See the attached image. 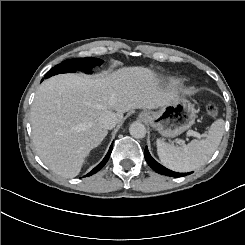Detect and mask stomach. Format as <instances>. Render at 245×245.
I'll use <instances>...</instances> for the list:
<instances>
[{"instance_id": "0dacf381", "label": "stomach", "mask_w": 245, "mask_h": 245, "mask_svg": "<svg viewBox=\"0 0 245 245\" xmlns=\"http://www.w3.org/2000/svg\"><path fill=\"white\" fill-rule=\"evenodd\" d=\"M141 112L140 118L145 120ZM152 119L148 122L163 137H176L189 129L196 119V109L188 100L175 96L167 105L156 112H151Z\"/></svg>"}]
</instances>
